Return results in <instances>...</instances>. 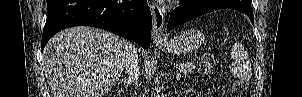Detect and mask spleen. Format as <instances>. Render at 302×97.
I'll return each mask as SVG.
<instances>
[{
	"mask_svg": "<svg viewBox=\"0 0 302 97\" xmlns=\"http://www.w3.org/2000/svg\"><path fill=\"white\" fill-rule=\"evenodd\" d=\"M231 57L234 61L230 67L232 74L243 81L250 80L252 74L249 56L241 44L235 43L232 46Z\"/></svg>",
	"mask_w": 302,
	"mask_h": 97,
	"instance_id": "1",
	"label": "spleen"
}]
</instances>
